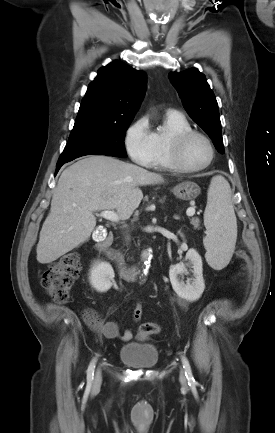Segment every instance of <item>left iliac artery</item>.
<instances>
[{
  "label": "left iliac artery",
  "mask_w": 275,
  "mask_h": 433,
  "mask_svg": "<svg viewBox=\"0 0 275 433\" xmlns=\"http://www.w3.org/2000/svg\"><path fill=\"white\" fill-rule=\"evenodd\" d=\"M181 360H182L183 368L185 369V376L187 377L188 381L195 382L188 359L184 355H182Z\"/></svg>",
  "instance_id": "left-iliac-artery-1"
}]
</instances>
